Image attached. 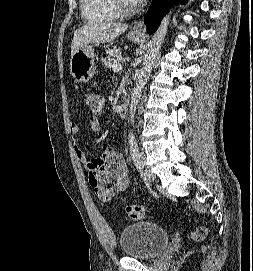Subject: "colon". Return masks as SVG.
Returning <instances> with one entry per match:
<instances>
[{
	"instance_id": "colon-1",
	"label": "colon",
	"mask_w": 253,
	"mask_h": 271,
	"mask_svg": "<svg viewBox=\"0 0 253 271\" xmlns=\"http://www.w3.org/2000/svg\"><path fill=\"white\" fill-rule=\"evenodd\" d=\"M85 101L93 113L98 114L101 112L103 108V99L99 94L95 92H87L85 94ZM125 214L129 220L138 221L143 218L144 212L142 207L138 205H128L125 208ZM206 235H207L206 228L198 227L192 232L191 237L194 240L199 241L204 239Z\"/></svg>"
}]
</instances>
